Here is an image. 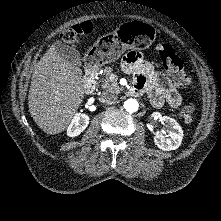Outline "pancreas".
<instances>
[{"label":"pancreas","instance_id":"pancreas-1","mask_svg":"<svg viewBox=\"0 0 221 221\" xmlns=\"http://www.w3.org/2000/svg\"><path fill=\"white\" fill-rule=\"evenodd\" d=\"M111 72V67H105L102 70L101 76L103 78L101 80V88L104 90V92L119 93L120 91H122V88L118 86L116 81H110L109 76Z\"/></svg>","mask_w":221,"mask_h":221}]
</instances>
